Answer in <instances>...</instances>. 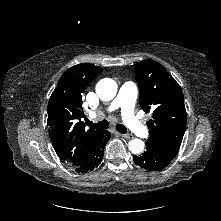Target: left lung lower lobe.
I'll return each mask as SVG.
<instances>
[{
  "instance_id": "left-lung-lower-lobe-1",
  "label": "left lung lower lobe",
  "mask_w": 221,
  "mask_h": 221,
  "mask_svg": "<svg viewBox=\"0 0 221 221\" xmlns=\"http://www.w3.org/2000/svg\"><path fill=\"white\" fill-rule=\"evenodd\" d=\"M171 160V158L158 153L148 146L142 155L134 157V162L148 171H159L165 168Z\"/></svg>"
}]
</instances>
